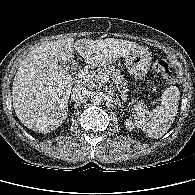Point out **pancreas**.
Listing matches in <instances>:
<instances>
[{"instance_id": "cf45deb5", "label": "pancreas", "mask_w": 195, "mask_h": 195, "mask_svg": "<svg viewBox=\"0 0 195 195\" xmlns=\"http://www.w3.org/2000/svg\"><path fill=\"white\" fill-rule=\"evenodd\" d=\"M105 76L110 77L114 81L115 85L117 86V89L121 93L120 96L122 100L126 101L127 100L126 92L128 91L126 87L127 81L121 75L120 70L115 69L114 67H102V68H98L97 70H93L89 73H86L83 76V81L90 88L99 89L101 88L104 82ZM130 104H134L133 105L134 111H139L143 107V103L140 101H137L136 103L133 101Z\"/></svg>"}]
</instances>
